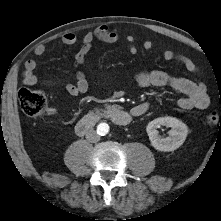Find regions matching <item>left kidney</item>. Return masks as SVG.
<instances>
[{"label":"left kidney","mask_w":221,"mask_h":221,"mask_svg":"<svg viewBox=\"0 0 221 221\" xmlns=\"http://www.w3.org/2000/svg\"><path fill=\"white\" fill-rule=\"evenodd\" d=\"M170 127L169 137L161 138L157 128ZM151 145L159 151L169 152L179 148L188 134V127L182 121L174 117H160L149 122L146 127Z\"/></svg>","instance_id":"obj_1"}]
</instances>
